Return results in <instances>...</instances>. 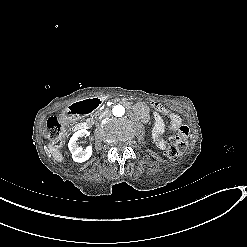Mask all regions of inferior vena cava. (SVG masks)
Wrapping results in <instances>:
<instances>
[{
  "mask_svg": "<svg viewBox=\"0 0 247 247\" xmlns=\"http://www.w3.org/2000/svg\"><path fill=\"white\" fill-rule=\"evenodd\" d=\"M103 116H104V115H101V116L99 117V119H101Z\"/></svg>",
  "mask_w": 247,
  "mask_h": 247,
  "instance_id": "1",
  "label": "inferior vena cava"
}]
</instances>
